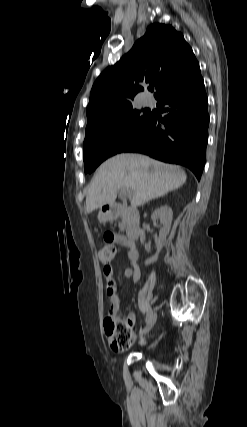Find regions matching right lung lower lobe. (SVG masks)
<instances>
[{
  "instance_id": "obj_1",
  "label": "right lung lower lobe",
  "mask_w": 247,
  "mask_h": 427,
  "mask_svg": "<svg viewBox=\"0 0 247 427\" xmlns=\"http://www.w3.org/2000/svg\"><path fill=\"white\" fill-rule=\"evenodd\" d=\"M157 105L164 118L153 114L144 134L123 152L143 153L186 166L200 180L206 161L209 123L200 68L170 88Z\"/></svg>"
}]
</instances>
